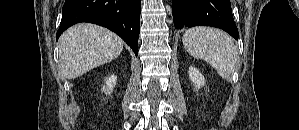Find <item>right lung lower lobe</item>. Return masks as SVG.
Wrapping results in <instances>:
<instances>
[{"instance_id": "1", "label": "right lung lower lobe", "mask_w": 299, "mask_h": 130, "mask_svg": "<svg viewBox=\"0 0 299 130\" xmlns=\"http://www.w3.org/2000/svg\"><path fill=\"white\" fill-rule=\"evenodd\" d=\"M141 0H66L56 40L70 26L90 22L119 35L137 56Z\"/></svg>"}]
</instances>
